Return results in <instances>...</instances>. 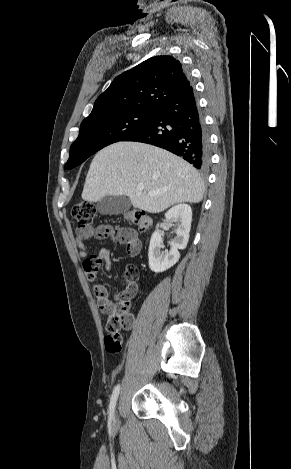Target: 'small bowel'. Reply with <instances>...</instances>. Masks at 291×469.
I'll list each match as a JSON object with an SVG mask.
<instances>
[{
	"mask_svg": "<svg viewBox=\"0 0 291 469\" xmlns=\"http://www.w3.org/2000/svg\"><path fill=\"white\" fill-rule=\"evenodd\" d=\"M104 226L109 230L108 237H115L119 242L124 243L126 245L127 253L129 255L135 256L139 253L141 244L138 239L137 233L134 230L124 227H114L112 225ZM89 239L90 237L83 235L79 231H77L75 242L79 249L78 254L82 259H84V270L89 280L94 283L93 289L96 296L97 304L101 311L107 314L114 307L115 301L110 298L108 289L103 284L97 282V271L94 272L89 270L86 266V263L89 260L98 261L100 265H103V269L107 271L111 268L112 264L111 253L106 248H101L97 252L91 253L89 251V247L86 245V242ZM97 284H99V287L96 286Z\"/></svg>",
	"mask_w": 291,
	"mask_h": 469,
	"instance_id": "c3829d8e",
	"label": "small bowel"
}]
</instances>
